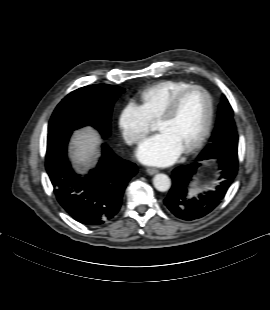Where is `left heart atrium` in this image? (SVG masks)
Wrapping results in <instances>:
<instances>
[{
	"label": "left heart atrium",
	"instance_id": "1",
	"mask_svg": "<svg viewBox=\"0 0 270 310\" xmlns=\"http://www.w3.org/2000/svg\"><path fill=\"white\" fill-rule=\"evenodd\" d=\"M182 153L180 148L160 132L144 140L137 150L138 159L149 165H168L174 162Z\"/></svg>",
	"mask_w": 270,
	"mask_h": 310
}]
</instances>
